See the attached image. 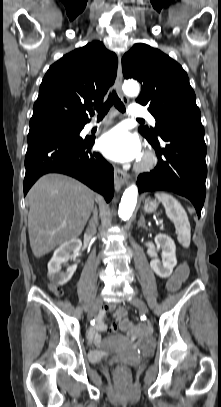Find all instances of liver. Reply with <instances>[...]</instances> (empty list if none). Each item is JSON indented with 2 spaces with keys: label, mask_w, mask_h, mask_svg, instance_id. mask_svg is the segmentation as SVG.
Returning <instances> with one entry per match:
<instances>
[{
  "label": "liver",
  "mask_w": 221,
  "mask_h": 407,
  "mask_svg": "<svg viewBox=\"0 0 221 407\" xmlns=\"http://www.w3.org/2000/svg\"><path fill=\"white\" fill-rule=\"evenodd\" d=\"M94 200V192L73 178L56 173L39 178L27 194L34 256L40 258L79 237L94 210Z\"/></svg>",
  "instance_id": "1"
}]
</instances>
